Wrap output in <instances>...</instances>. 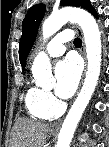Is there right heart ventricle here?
I'll return each instance as SVG.
<instances>
[{
	"instance_id": "obj_1",
	"label": "right heart ventricle",
	"mask_w": 109,
	"mask_h": 147,
	"mask_svg": "<svg viewBox=\"0 0 109 147\" xmlns=\"http://www.w3.org/2000/svg\"><path fill=\"white\" fill-rule=\"evenodd\" d=\"M41 90L32 82H27L24 92V105L30 116L36 119H52L59 112L57 109H49L42 104L40 99Z\"/></svg>"
}]
</instances>
